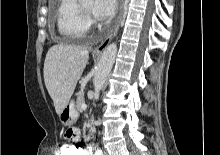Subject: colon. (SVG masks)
Segmentation results:
<instances>
[{
  "mask_svg": "<svg viewBox=\"0 0 220 155\" xmlns=\"http://www.w3.org/2000/svg\"><path fill=\"white\" fill-rule=\"evenodd\" d=\"M59 153L60 155H83V150L79 146H60Z\"/></svg>",
  "mask_w": 220,
  "mask_h": 155,
  "instance_id": "colon-1",
  "label": "colon"
}]
</instances>
